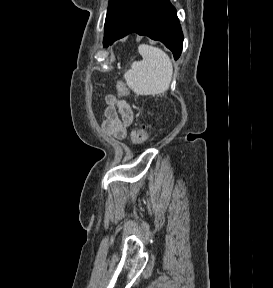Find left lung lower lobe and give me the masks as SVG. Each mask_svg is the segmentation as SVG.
Instances as JSON below:
<instances>
[{
  "label": "left lung lower lobe",
  "instance_id": "obj_1",
  "mask_svg": "<svg viewBox=\"0 0 273 288\" xmlns=\"http://www.w3.org/2000/svg\"><path fill=\"white\" fill-rule=\"evenodd\" d=\"M130 33L146 35L153 40L161 41L172 51L175 60L181 55L183 33L176 9L169 0H132L113 36L104 46L108 47Z\"/></svg>",
  "mask_w": 273,
  "mask_h": 288
}]
</instances>
